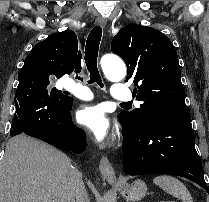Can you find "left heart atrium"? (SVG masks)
<instances>
[{
  "label": "left heart atrium",
  "instance_id": "left-heart-atrium-1",
  "mask_svg": "<svg viewBox=\"0 0 209 202\" xmlns=\"http://www.w3.org/2000/svg\"><path fill=\"white\" fill-rule=\"evenodd\" d=\"M76 119L95 140L101 141L107 137L110 124L101 106L94 105L80 108L76 112Z\"/></svg>",
  "mask_w": 209,
  "mask_h": 202
}]
</instances>
